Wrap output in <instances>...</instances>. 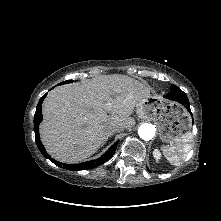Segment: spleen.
I'll return each mask as SVG.
<instances>
[{
    "instance_id": "obj_1",
    "label": "spleen",
    "mask_w": 221,
    "mask_h": 221,
    "mask_svg": "<svg viewBox=\"0 0 221 221\" xmlns=\"http://www.w3.org/2000/svg\"><path fill=\"white\" fill-rule=\"evenodd\" d=\"M192 138V133L187 132L182 139H179L173 145L162 147L164 156L172 165L178 166L181 161L186 159L191 150Z\"/></svg>"
}]
</instances>
